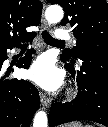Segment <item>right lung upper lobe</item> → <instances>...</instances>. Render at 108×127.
I'll return each instance as SVG.
<instances>
[{
  "instance_id": "1",
  "label": "right lung upper lobe",
  "mask_w": 108,
  "mask_h": 127,
  "mask_svg": "<svg viewBox=\"0 0 108 127\" xmlns=\"http://www.w3.org/2000/svg\"><path fill=\"white\" fill-rule=\"evenodd\" d=\"M41 12L38 0H0V46L18 43L31 34L26 28L39 24Z\"/></svg>"
}]
</instances>
